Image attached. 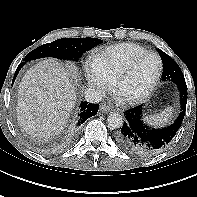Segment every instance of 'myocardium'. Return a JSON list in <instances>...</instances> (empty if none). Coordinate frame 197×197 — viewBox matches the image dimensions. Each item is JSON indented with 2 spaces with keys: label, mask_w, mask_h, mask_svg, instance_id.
<instances>
[{
  "label": "myocardium",
  "mask_w": 197,
  "mask_h": 197,
  "mask_svg": "<svg viewBox=\"0 0 197 197\" xmlns=\"http://www.w3.org/2000/svg\"><path fill=\"white\" fill-rule=\"evenodd\" d=\"M147 56H153L157 59L158 61V70L157 73L154 77V79L152 80L151 84L149 85V87L141 94L137 95V96H133V97H122L119 95L118 90L121 86V84L126 80V78L131 74V72L133 71L134 67L136 66V64L143 58L147 57ZM162 71H163V62L161 57L155 53V52H145L142 54H139L137 56H135L118 74V76L115 78L114 81V85H113V91L115 93V95L118 97L119 101L124 103V104H137L140 103L144 100H146L156 89L157 84L161 78L162 75Z\"/></svg>",
  "instance_id": "f54148a6"
}]
</instances>
